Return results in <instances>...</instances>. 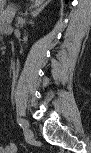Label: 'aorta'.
I'll return each mask as SVG.
<instances>
[{
	"label": "aorta",
	"instance_id": "aorta-1",
	"mask_svg": "<svg viewBox=\"0 0 91 153\" xmlns=\"http://www.w3.org/2000/svg\"><path fill=\"white\" fill-rule=\"evenodd\" d=\"M33 2H34L33 9L35 11L40 6L42 0H34Z\"/></svg>",
	"mask_w": 91,
	"mask_h": 153
}]
</instances>
